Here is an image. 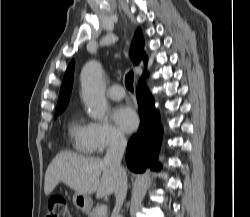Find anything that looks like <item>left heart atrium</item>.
I'll use <instances>...</instances> for the list:
<instances>
[{
    "instance_id": "39dd6f15",
    "label": "left heart atrium",
    "mask_w": 250,
    "mask_h": 217,
    "mask_svg": "<svg viewBox=\"0 0 250 217\" xmlns=\"http://www.w3.org/2000/svg\"><path fill=\"white\" fill-rule=\"evenodd\" d=\"M112 119L120 129L126 132L134 130L138 124L135 111L127 105L116 107L112 112Z\"/></svg>"
}]
</instances>
